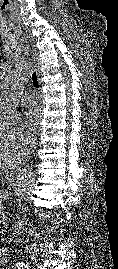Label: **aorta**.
Segmentation results:
<instances>
[{
	"label": "aorta",
	"instance_id": "obj_1",
	"mask_svg": "<svg viewBox=\"0 0 118 269\" xmlns=\"http://www.w3.org/2000/svg\"><path fill=\"white\" fill-rule=\"evenodd\" d=\"M30 76V65L23 64L15 69L5 80L0 91V114L14 116L18 110L21 93ZM35 174L24 171L18 178L14 194L17 197L26 195L32 188Z\"/></svg>",
	"mask_w": 118,
	"mask_h": 269
}]
</instances>
